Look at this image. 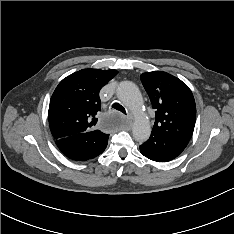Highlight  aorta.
<instances>
[{"label": "aorta", "instance_id": "obj_1", "mask_svg": "<svg viewBox=\"0 0 234 234\" xmlns=\"http://www.w3.org/2000/svg\"><path fill=\"white\" fill-rule=\"evenodd\" d=\"M118 99L127 106L135 115L133 136L139 142L146 141L151 134L148 118L142 111L143 100L137 86L130 81H123L116 91Z\"/></svg>", "mask_w": 234, "mask_h": 234}]
</instances>
